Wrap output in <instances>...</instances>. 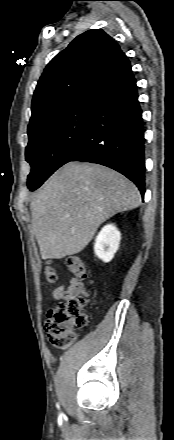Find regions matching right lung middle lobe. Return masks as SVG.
<instances>
[{"instance_id": "right-lung-middle-lobe-1", "label": "right lung middle lobe", "mask_w": 174, "mask_h": 440, "mask_svg": "<svg viewBox=\"0 0 174 440\" xmlns=\"http://www.w3.org/2000/svg\"><path fill=\"white\" fill-rule=\"evenodd\" d=\"M95 95L82 96L28 126L26 161L31 165L28 188L39 187L66 163L82 141L90 122Z\"/></svg>"}]
</instances>
